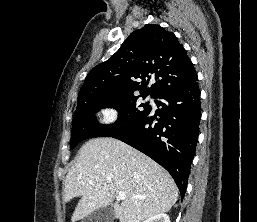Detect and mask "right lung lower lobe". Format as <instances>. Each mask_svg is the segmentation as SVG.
Masks as SVG:
<instances>
[{
	"label": "right lung lower lobe",
	"mask_w": 257,
	"mask_h": 222,
	"mask_svg": "<svg viewBox=\"0 0 257 222\" xmlns=\"http://www.w3.org/2000/svg\"><path fill=\"white\" fill-rule=\"evenodd\" d=\"M197 79L154 96L160 109L155 113L150 110L131 127L112 136L164 167L182 198L199 135L201 106Z\"/></svg>",
	"instance_id": "98d812e1"
}]
</instances>
